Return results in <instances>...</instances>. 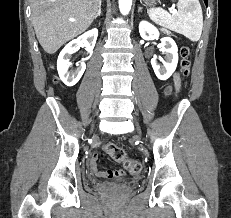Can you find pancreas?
Wrapping results in <instances>:
<instances>
[{"mask_svg": "<svg viewBox=\"0 0 231 218\" xmlns=\"http://www.w3.org/2000/svg\"><path fill=\"white\" fill-rule=\"evenodd\" d=\"M162 31L166 32V33H169V31H167L166 29H162Z\"/></svg>", "mask_w": 231, "mask_h": 218, "instance_id": "obj_1", "label": "pancreas"}]
</instances>
